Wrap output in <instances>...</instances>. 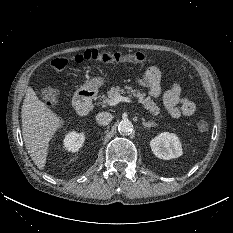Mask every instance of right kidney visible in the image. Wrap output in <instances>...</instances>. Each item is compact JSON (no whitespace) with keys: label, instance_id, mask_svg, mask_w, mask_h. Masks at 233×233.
Returning a JSON list of instances; mask_svg holds the SVG:
<instances>
[{"label":"right kidney","instance_id":"ca27d5eb","mask_svg":"<svg viewBox=\"0 0 233 233\" xmlns=\"http://www.w3.org/2000/svg\"><path fill=\"white\" fill-rule=\"evenodd\" d=\"M84 133H77L75 131L68 133L63 141L66 150L71 152H77L84 144Z\"/></svg>","mask_w":233,"mask_h":233}]
</instances>
